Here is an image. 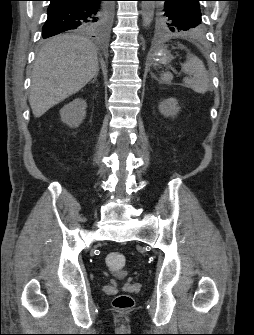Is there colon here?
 Returning a JSON list of instances; mask_svg holds the SVG:
<instances>
[{
	"label": "colon",
	"mask_w": 254,
	"mask_h": 335,
	"mask_svg": "<svg viewBox=\"0 0 254 335\" xmlns=\"http://www.w3.org/2000/svg\"><path fill=\"white\" fill-rule=\"evenodd\" d=\"M106 265L113 272H120L126 265V257L120 252H110L106 256ZM134 300L128 294H119L114 298L113 306L118 310H129L133 307Z\"/></svg>",
	"instance_id": "obj_1"
}]
</instances>
